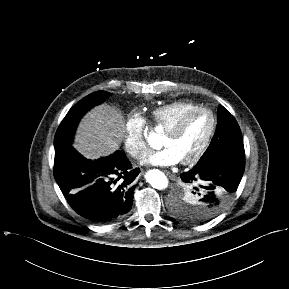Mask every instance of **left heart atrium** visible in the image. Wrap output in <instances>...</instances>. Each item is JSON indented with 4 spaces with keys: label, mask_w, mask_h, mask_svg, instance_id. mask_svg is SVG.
Instances as JSON below:
<instances>
[{
    "label": "left heart atrium",
    "mask_w": 289,
    "mask_h": 289,
    "mask_svg": "<svg viewBox=\"0 0 289 289\" xmlns=\"http://www.w3.org/2000/svg\"><path fill=\"white\" fill-rule=\"evenodd\" d=\"M181 159L175 151L169 147H165L159 151L150 154L144 161L145 164L153 166L168 167L179 163Z\"/></svg>",
    "instance_id": "obj_1"
}]
</instances>
